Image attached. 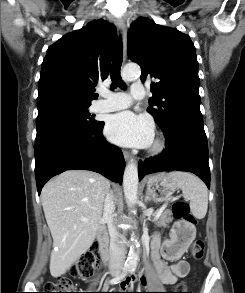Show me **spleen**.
<instances>
[{
  "mask_svg": "<svg viewBox=\"0 0 245 293\" xmlns=\"http://www.w3.org/2000/svg\"><path fill=\"white\" fill-rule=\"evenodd\" d=\"M168 178L190 200L192 214L197 219L204 218L208 208V191L202 180L191 173L180 171L170 172Z\"/></svg>",
  "mask_w": 245,
  "mask_h": 293,
  "instance_id": "obj_1",
  "label": "spleen"
}]
</instances>
